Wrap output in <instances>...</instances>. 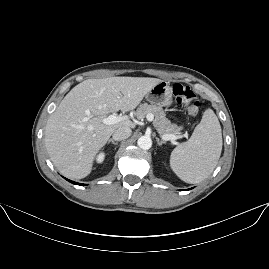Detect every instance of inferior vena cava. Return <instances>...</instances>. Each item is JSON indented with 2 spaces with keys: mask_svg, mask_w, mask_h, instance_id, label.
Returning a JSON list of instances; mask_svg holds the SVG:
<instances>
[{
  "mask_svg": "<svg viewBox=\"0 0 269 269\" xmlns=\"http://www.w3.org/2000/svg\"><path fill=\"white\" fill-rule=\"evenodd\" d=\"M132 130L129 127H121L115 130L113 133V139L115 141H121L131 136Z\"/></svg>",
  "mask_w": 269,
  "mask_h": 269,
  "instance_id": "602c4592",
  "label": "inferior vena cava"
}]
</instances>
